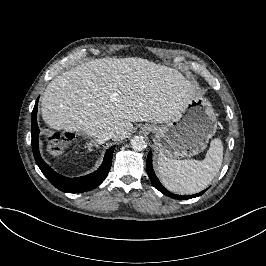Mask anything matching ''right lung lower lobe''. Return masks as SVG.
Here are the masks:
<instances>
[{"label":"right lung lower lobe","mask_w":266,"mask_h":266,"mask_svg":"<svg viewBox=\"0 0 266 266\" xmlns=\"http://www.w3.org/2000/svg\"><path fill=\"white\" fill-rule=\"evenodd\" d=\"M39 99V98H38ZM38 99L36 100L34 109L32 111V126H31V135H32V150L35 161L42 173L47 177V179L51 182L53 186L57 189L67 192V193H82L89 190H92L99 186L104 179L106 178L112 164V155L115 146L110 147L105 153V157L100 168L86 176H81L77 178H68L56 173L53 169L47 165L41 155L39 153V143H38V135L39 128L37 125V106Z\"/></svg>","instance_id":"1"}]
</instances>
